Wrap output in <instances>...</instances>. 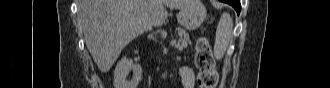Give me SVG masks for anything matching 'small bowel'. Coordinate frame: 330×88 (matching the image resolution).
<instances>
[{
  "label": "small bowel",
  "mask_w": 330,
  "mask_h": 88,
  "mask_svg": "<svg viewBox=\"0 0 330 88\" xmlns=\"http://www.w3.org/2000/svg\"><path fill=\"white\" fill-rule=\"evenodd\" d=\"M177 76L182 81L185 88H192L194 86V72L191 68L186 66L179 67Z\"/></svg>",
  "instance_id": "small-bowel-1"
}]
</instances>
